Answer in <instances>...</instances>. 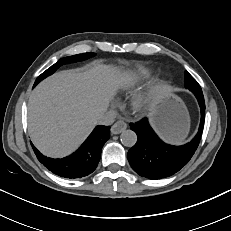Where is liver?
Returning <instances> with one entry per match:
<instances>
[{"label": "liver", "mask_w": 231, "mask_h": 231, "mask_svg": "<svg viewBox=\"0 0 231 231\" xmlns=\"http://www.w3.org/2000/svg\"><path fill=\"white\" fill-rule=\"evenodd\" d=\"M126 81L116 68L94 62L81 71L57 72L32 92L28 130L46 156L63 157L86 139L109 101Z\"/></svg>", "instance_id": "liver-1"}]
</instances>
